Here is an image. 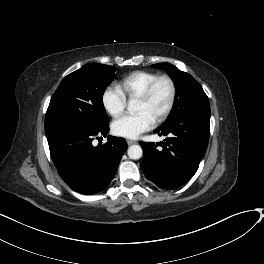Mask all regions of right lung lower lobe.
<instances>
[{"label": "right lung lower lobe", "mask_w": 264, "mask_h": 264, "mask_svg": "<svg viewBox=\"0 0 264 264\" xmlns=\"http://www.w3.org/2000/svg\"><path fill=\"white\" fill-rule=\"evenodd\" d=\"M109 123L97 129L63 127L46 132L49 149L61 178L74 191L91 195L104 190L115 176L123 152L124 138L108 137L105 144L92 145L97 135L107 136Z\"/></svg>", "instance_id": "98d812e1"}]
</instances>
